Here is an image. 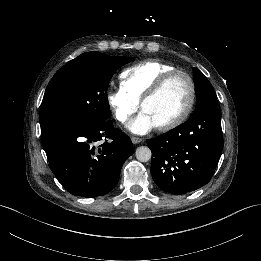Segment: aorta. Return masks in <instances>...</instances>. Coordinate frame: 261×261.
Listing matches in <instances>:
<instances>
[{"label":"aorta","instance_id":"obj_1","mask_svg":"<svg viewBox=\"0 0 261 261\" xmlns=\"http://www.w3.org/2000/svg\"><path fill=\"white\" fill-rule=\"evenodd\" d=\"M151 150L147 146H141L136 149L135 156L140 162H148L151 159Z\"/></svg>","mask_w":261,"mask_h":261}]
</instances>
